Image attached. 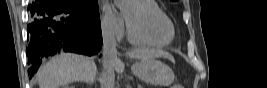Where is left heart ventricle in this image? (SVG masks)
I'll list each match as a JSON object with an SVG mask.
<instances>
[{"mask_svg": "<svg viewBox=\"0 0 267 88\" xmlns=\"http://www.w3.org/2000/svg\"><path fill=\"white\" fill-rule=\"evenodd\" d=\"M125 14L135 26L162 32L164 35L168 34V28L166 26H161L158 22L153 20L147 12L142 9H138L132 3L126 7Z\"/></svg>", "mask_w": 267, "mask_h": 88, "instance_id": "obj_1", "label": "left heart ventricle"}]
</instances>
